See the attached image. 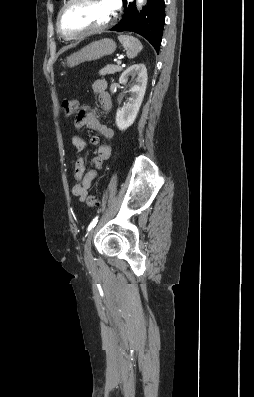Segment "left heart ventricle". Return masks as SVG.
I'll return each instance as SVG.
<instances>
[{
	"mask_svg": "<svg viewBox=\"0 0 254 397\" xmlns=\"http://www.w3.org/2000/svg\"><path fill=\"white\" fill-rule=\"evenodd\" d=\"M112 10L107 0H76L64 12L62 27L68 33H78L106 23Z\"/></svg>",
	"mask_w": 254,
	"mask_h": 397,
	"instance_id": "left-heart-ventricle-1",
	"label": "left heart ventricle"
}]
</instances>
